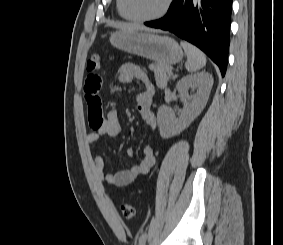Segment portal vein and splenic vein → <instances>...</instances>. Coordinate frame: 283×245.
I'll list each match as a JSON object with an SVG mask.
<instances>
[{
	"mask_svg": "<svg viewBox=\"0 0 283 245\" xmlns=\"http://www.w3.org/2000/svg\"><path fill=\"white\" fill-rule=\"evenodd\" d=\"M168 74H169V75H172V70H169V71H168Z\"/></svg>",
	"mask_w": 283,
	"mask_h": 245,
	"instance_id": "obj_1",
	"label": "portal vein and splenic vein"
}]
</instances>
